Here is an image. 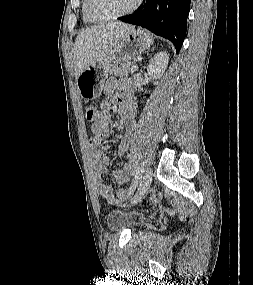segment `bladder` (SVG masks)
I'll return each mask as SVG.
<instances>
[{
	"instance_id": "bladder-1",
	"label": "bladder",
	"mask_w": 253,
	"mask_h": 285,
	"mask_svg": "<svg viewBox=\"0 0 253 285\" xmlns=\"http://www.w3.org/2000/svg\"><path fill=\"white\" fill-rule=\"evenodd\" d=\"M106 222L112 230H134L142 222V217L136 212L115 209L108 213Z\"/></svg>"
}]
</instances>
